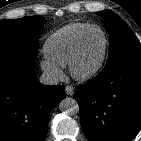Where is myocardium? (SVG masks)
<instances>
[{
  "instance_id": "1",
  "label": "myocardium",
  "mask_w": 141,
  "mask_h": 141,
  "mask_svg": "<svg viewBox=\"0 0 141 141\" xmlns=\"http://www.w3.org/2000/svg\"><path fill=\"white\" fill-rule=\"evenodd\" d=\"M93 29L99 30L104 37V48L99 62L90 70L81 72L77 69V63L81 55L82 46L86 35ZM109 37L105 30L98 25H90L79 36L72 56L69 61V70L73 78L79 81H87L95 77L103 68L109 51Z\"/></svg>"
}]
</instances>
